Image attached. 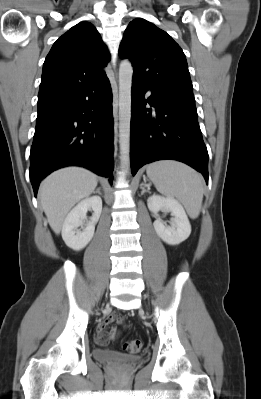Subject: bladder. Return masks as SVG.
<instances>
[{
  "mask_svg": "<svg viewBox=\"0 0 261 399\" xmlns=\"http://www.w3.org/2000/svg\"><path fill=\"white\" fill-rule=\"evenodd\" d=\"M93 357L95 360L105 363L125 362L133 363L138 361L137 356L126 355L120 352L106 350V349H95L93 351Z\"/></svg>",
  "mask_w": 261,
  "mask_h": 399,
  "instance_id": "31cf9c89",
  "label": "bladder"
}]
</instances>
